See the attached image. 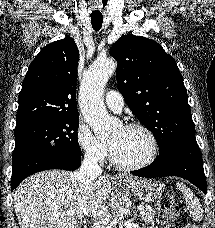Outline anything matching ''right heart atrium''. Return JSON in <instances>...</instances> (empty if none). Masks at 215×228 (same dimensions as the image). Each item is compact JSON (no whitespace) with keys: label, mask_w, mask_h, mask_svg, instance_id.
Masks as SVG:
<instances>
[{"label":"right heart atrium","mask_w":215,"mask_h":228,"mask_svg":"<svg viewBox=\"0 0 215 228\" xmlns=\"http://www.w3.org/2000/svg\"><path fill=\"white\" fill-rule=\"evenodd\" d=\"M74 135L76 146L85 160L100 164L107 159L109 155L107 144L95 136L86 122L82 120L78 121Z\"/></svg>","instance_id":"1"}]
</instances>
